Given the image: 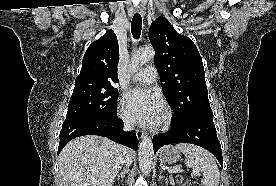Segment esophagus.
<instances>
[{
    "mask_svg": "<svg viewBox=\"0 0 276 186\" xmlns=\"http://www.w3.org/2000/svg\"><path fill=\"white\" fill-rule=\"evenodd\" d=\"M137 12L140 13L142 16H144L145 13H146V9H145L144 6H140L137 9ZM136 136H137L138 139H142L145 136V132L141 131V130H136Z\"/></svg>",
    "mask_w": 276,
    "mask_h": 186,
    "instance_id": "1",
    "label": "esophagus"
}]
</instances>
